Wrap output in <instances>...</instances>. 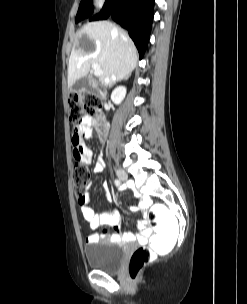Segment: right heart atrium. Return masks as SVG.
Listing matches in <instances>:
<instances>
[{
    "label": "right heart atrium",
    "instance_id": "obj_1",
    "mask_svg": "<svg viewBox=\"0 0 247 304\" xmlns=\"http://www.w3.org/2000/svg\"><path fill=\"white\" fill-rule=\"evenodd\" d=\"M93 1L99 7L103 6L106 2V0H93Z\"/></svg>",
    "mask_w": 247,
    "mask_h": 304
}]
</instances>
